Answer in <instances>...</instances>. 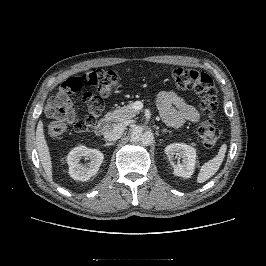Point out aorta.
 Instances as JSON below:
<instances>
[{
	"label": "aorta",
	"mask_w": 266,
	"mask_h": 266,
	"mask_svg": "<svg viewBox=\"0 0 266 266\" xmlns=\"http://www.w3.org/2000/svg\"><path fill=\"white\" fill-rule=\"evenodd\" d=\"M131 140L135 143L141 142L143 145H150L154 140V135L151 131H144L141 126H136L131 131Z\"/></svg>",
	"instance_id": "obj_1"
}]
</instances>
